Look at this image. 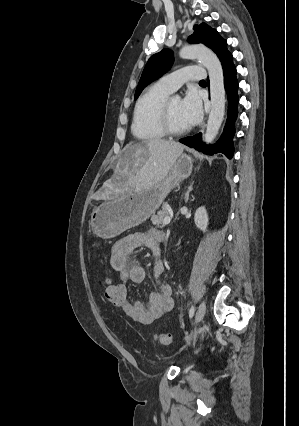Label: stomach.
Masks as SVG:
<instances>
[{
	"instance_id": "1",
	"label": "stomach",
	"mask_w": 299,
	"mask_h": 426,
	"mask_svg": "<svg viewBox=\"0 0 299 426\" xmlns=\"http://www.w3.org/2000/svg\"><path fill=\"white\" fill-rule=\"evenodd\" d=\"M193 163L194 160L189 155L183 154L176 159L168 175L159 183L147 189H131L94 208L90 219L93 234L110 239L146 221L157 211L170 191L191 175Z\"/></svg>"
}]
</instances>
